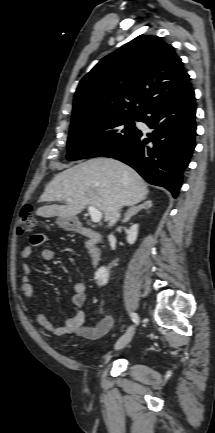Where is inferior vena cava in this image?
Masks as SVG:
<instances>
[{"label":"inferior vena cava","mask_w":215,"mask_h":433,"mask_svg":"<svg viewBox=\"0 0 215 433\" xmlns=\"http://www.w3.org/2000/svg\"><path fill=\"white\" fill-rule=\"evenodd\" d=\"M119 218H120V211L118 209L112 215V217H111V219L109 221V226H113L118 221Z\"/></svg>","instance_id":"obj_1"}]
</instances>
